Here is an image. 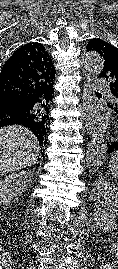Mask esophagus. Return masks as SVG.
<instances>
[{"instance_id":"obj_1","label":"esophagus","mask_w":118,"mask_h":269,"mask_svg":"<svg viewBox=\"0 0 118 269\" xmlns=\"http://www.w3.org/2000/svg\"><path fill=\"white\" fill-rule=\"evenodd\" d=\"M93 94L92 79L89 74L86 75L83 86L82 95V110H83V120L85 122L84 130L88 135L94 134L95 120L91 113V101Z\"/></svg>"}]
</instances>
